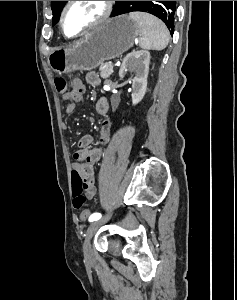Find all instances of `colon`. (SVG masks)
I'll return each mask as SVG.
<instances>
[{
    "mask_svg": "<svg viewBox=\"0 0 237 300\" xmlns=\"http://www.w3.org/2000/svg\"><path fill=\"white\" fill-rule=\"evenodd\" d=\"M54 82L57 92L67 96L70 101L79 102L82 99L85 90L84 86L68 90V83L64 78L58 77ZM72 194L74 207L78 209L83 208L86 201V197L83 195V179L80 172L76 169L72 170ZM82 214L86 217L89 211L84 209Z\"/></svg>",
    "mask_w": 237,
    "mask_h": 300,
    "instance_id": "1",
    "label": "colon"
}]
</instances>
